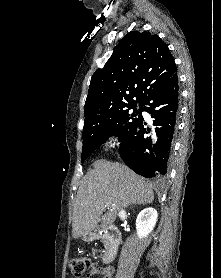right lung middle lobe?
<instances>
[{"label":"right lung middle lobe","mask_w":221,"mask_h":278,"mask_svg":"<svg viewBox=\"0 0 221 278\" xmlns=\"http://www.w3.org/2000/svg\"><path fill=\"white\" fill-rule=\"evenodd\" d=\"M136 104L128 105L110 115L84 123L82 163L110 136L116 135L119 141H122L128 132L140 122L143 105L139 103L140 108L137 110ZM131 109L133 111H130Z\"/></svg>","instance_id":"dd1d6c3e"}]
</instances>
